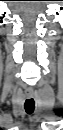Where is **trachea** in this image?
<instances>
[{"mask_svg": "<svg viewBox=\"0 0 63 130\" xmlns=\"http://www.w3.org/2000/svg\"><path fill=\"white\" fill-rule=\"evenodd\" d=\"M24 107H25V111L28 114H32L35 109V102H34L33 98L27 99L25 101Z\"/></svg>", "mask_w": 63, "mask_h": 130, "instance_id": "trachea-1", "label": "trachea"}]
</instances>
